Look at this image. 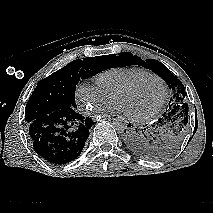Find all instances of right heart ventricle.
I'll return each instance as SVG.
<instances>
[{
    "label": "right heart ventricle",
    "instance_id": "1",
    "mask_svg": "<svg viewBox=\"0 0 213 213\" xmlns=\"http://www.w3.org/2000/svg\"><path fill=\"white\" fill-rule=\"evenodd\" d=\"M145 73H149V71L139 66L115 67L99 73L96 76V83L107 95L112 97L121 86Z\"/></svg>",
    "mask_w": 213,
    "mask_h": 213
}]
</instances>
